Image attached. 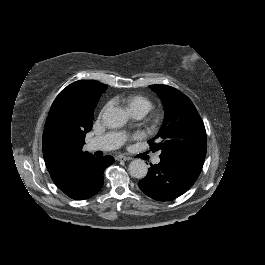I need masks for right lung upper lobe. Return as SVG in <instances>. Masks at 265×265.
Wrapping results in <instances>:
<instances>
[{
  "label": "right lung upper lobe",
  "instance_id": "cb5924a9",
  "mask_svg": "<svg viewBox=\"0 0 265 265\" xmlns=\"http://www.w3.org/2000/svg\"><path fill=\"white\" fill-rule=\"evenodd\" d=\"M106 89L107 85L100 82L79 80L68 85L54 100L44 127L42 149L47 170L56 185L64 183L80 164L93 157L82 150L85 135L92 128L82 109Z\"/></svg>",
  "mask_w": 265,
  "mask_h": 265
}]
</instances>
